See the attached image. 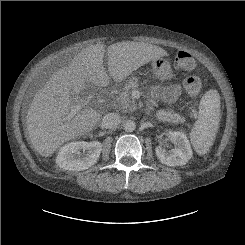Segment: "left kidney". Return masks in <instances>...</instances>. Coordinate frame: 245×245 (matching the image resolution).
Listing matches in <instances>:
<instances>
[{
    "label": "left kidney",
    "instance_id": "5707ae66",
    "mask_svg": "<svg viewBox=\"0 0 245 245\" xmlns=\"http://www.w3.org/2000/svg\"><path fill=\"white\" fill-rule=\"evenodd\" d=\"M167 136L174 142L175 148L169 153L161 146L156 147L158 159L167 166L185 165L193 155L187 136L183 132L174 130L167 131Z\"/></svg>",
    "mask_w": 245,
    "mask_h": 245
}]
</instances>
